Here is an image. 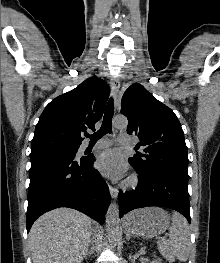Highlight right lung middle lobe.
<instances>
[{
	"label": "right lung middle lobe",
	"mask_w": 220,
	"mask_h": 263,
	"mask_svg": "<svg viewBox=\"0 0 220 263\" xmlns=\"http://www.w3.org/2000/svg\"><path fill=\"white\" fill-rule=\"evenodd\" d=\"M78 148H74V149H63V150H54L57 153L66 155L68 157H75L76 152H77Z\"/></svg>",
	"instance_id": "right-lung-middle-lobe-1"
}]
</instances>
